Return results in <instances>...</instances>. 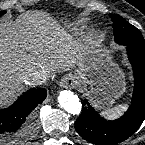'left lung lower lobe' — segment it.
I'll list each match as a JSON object with an SVG mask.
<instances>
[{
  "instance_id": "1",
  "label": "left lung lower lobe",
  "mask_w": 145,
  "mask_h": 145,
  "mask_svg": "<svg viewBox=\"0 0 145 145\" xmlns=\"http://www.w3.org/2000/svg\"><path fill=\"white\" fill-rule=\"evenodd\" d=\"M126 48L134 71L133 97L127 112L115 121H107L85 99L75 122L76 131L93 144L121 143L136 132L145 119V49L131 45Z\"/></svg>"
}]
</instances>
